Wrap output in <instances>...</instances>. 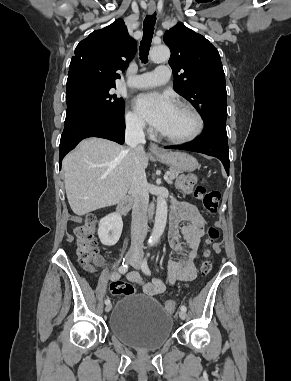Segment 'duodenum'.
<instances>
[{
    "instance_id": "obj_1",
    "label": "duodenum",
    "mask_w": 291,
    "mask_h": 381,
    "mask_svg": "<svg viewBox=\"0 0 291 381\" xmlns=\"http://www.w3.org/2000/svg\"><path fill=\"white\" fill-rule=\"evenodd\" d=\"M131 205H132V199L131 198L126 197V198L122 199L117 206V212L120 214L124 213L131 207Z\"/></svg>"
}]
</instances>
